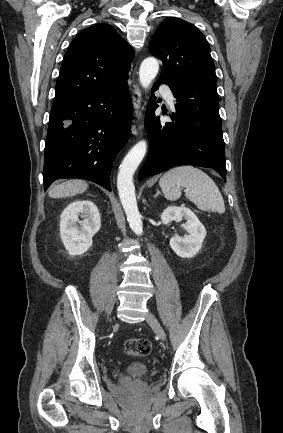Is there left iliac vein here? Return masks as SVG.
I'll use <instances>...</instances> for the list:
<instances>
[{
  "label": "left iliac vein",
  "mask_w": 283,
  "mask_h": 433,
  "mask_svg": "<svg viewBox=\"0 0 283 433\" xmlns=\"http://www.w3.org/2000/svg\"><path fill=\"white\" fill-rule=\"evenodd\" d=\"M146 321L153 328L156 335H158V337L162 341H165L166 340V333H165L164 329L162 328V326L160 325V323L158 322V320L156 319V317L152 313L149 312L147 314Z\"/></svg>",
  "instance_id": "1"
}]
</instances>
